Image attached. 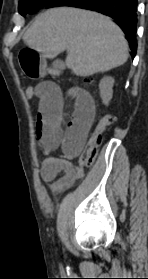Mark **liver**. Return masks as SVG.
I'll return each instance as SVG.
<instances>
[{"label": "liver", "mask_w": 148, "mask_h": 279, "mask_svg": "<svg viewBox=\"0 0 148 279\" xmlns=\"http://www.w3.org/2000/svg\"><path fill=\"white\" fill-rule=\"evenodd\" d=\"M23 40L45 58H54L67 49L66 66L82 77L121 66L128 59V43L122 30L104 15L77 8L45 11Z\"/></svg>", "instance_id": "6515ba94"}]
</instances>
